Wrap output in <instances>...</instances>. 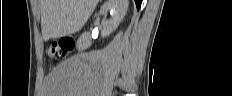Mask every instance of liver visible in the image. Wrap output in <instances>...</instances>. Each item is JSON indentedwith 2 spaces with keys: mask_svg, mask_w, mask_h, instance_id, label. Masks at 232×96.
Returning a JSON list of instances; mask_svg holds the SVG:
<instances>
[{
  "mask_svg": "<svg viewBox=\"0 0 232 96\" xmlns=\"http://www.w3.org/2000/svg\"><path fill=\"white\" fill-rule=\"evenodd\" d=\"M44 41L79 31L99 0H39Z\"/></svg>",
  "mask_w": 232,
  "mask_h": 96,
  "instance_id": "obj_1",
  "label": "liver"
}]
</instances>
